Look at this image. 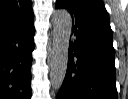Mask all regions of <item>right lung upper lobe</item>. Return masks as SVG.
Masks as SVG:
<instances>
[{"label":"right lung upper lobe","instance_id":"right-lung-upper-lobe-1","mask_svg":"<svg viewBox=\"0 0 128 99\" xmlns=\"http://www.w3.org/2000/svg\"><path fill=\"white\" fill-rule=\"evenodd\" d=\"M31 12V0H0V31Z\"/></svg>","mask_w":128,"mask_h":99}]
</instances>
